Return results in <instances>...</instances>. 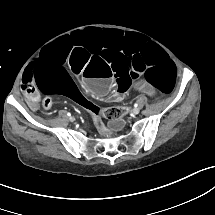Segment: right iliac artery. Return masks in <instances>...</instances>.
<instances>
[{"mask_svg": "<svg viewBox=\"0 0 215 215\" xmlns=\"http://www.w3.org/2000/svg\"><path fill=\"white\" fill-rule=\"evenodd\" d=\"M67 115H68V116H71V114H70V113H67Z\"/></svg>", "mask_w": 215, "mask_h": 215, "instance_id": "obj_1", "label": "right iliac artery"}]
</instances>
